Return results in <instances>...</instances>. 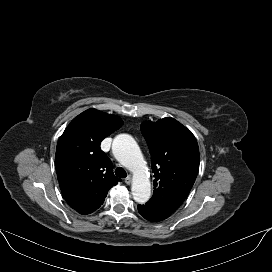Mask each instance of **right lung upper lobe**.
I'll list each match as a JSON object with an SVG mask.
<instances>
[{
    "label": "right lung upper lobe",
    "mask_w": 272,
    "mask_h": 272,
    "mask_svg": "<svg viewBox=\"0 0 272 272\" xmlns=\"http://www.w3.org/2000/svg\"><path fill=\"white\" fill-rule=\"evenodd\" d=\"M122 125L121 118L91 108L76 116L58 140L55 161L61 192L80 214L99 208L120 181L100 143Z\"/></svg>",
    "instance_id": "1"
}]
</instances>
